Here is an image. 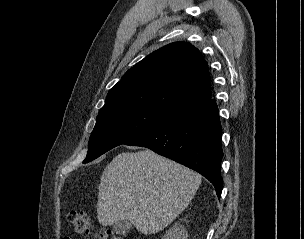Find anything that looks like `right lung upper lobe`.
<instances>
[{
  "label": "right lung upper lobe",
  "instance_id": "obj_1",
  "mask_svg": "<svg viewBox=\"0 0 304 239\" xmlns=\"http://www.w3.org/2000/svg\"><path fill=\"white\" fill-rule=\"evenodd\" d=\"M209 99L206 61L193 45L174 42L129 69L108 92L99 114L138 108L172 118Z\"/></svg>",
  "mask_w": 304,
  "mask_h": 239
}]
</instances>
